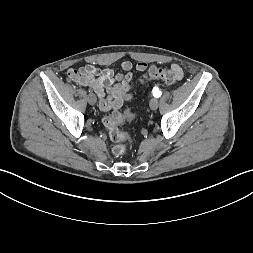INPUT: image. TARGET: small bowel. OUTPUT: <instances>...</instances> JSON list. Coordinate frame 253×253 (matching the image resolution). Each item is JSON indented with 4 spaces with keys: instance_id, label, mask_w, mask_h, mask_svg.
Returning <instances> with one entry per match:
<instances>
[{
    "instance_id": "obj_1",
    "label": "small bowel",
    "mask_w": 253,
    "mask_h": 253,
    "mask_svg": "<svg viewBox=\"0 0 253 253\" xmlns=\"http://www.w3.org/2000/svg\"><path fill=\"white\" fill-rule=\"evenodd\" d=\"M147 67L145 62H138L135 65L138 72H144ZM172 67L180 68L176 64ZM120 68L123 72L111 67L99 69L92 63H88L79 70L70 68L67 76L77 84L94 88L99 97L100 110L109 112L119 109L125 101L132 98V90L135 86L132 73L134 66L130 61H123Z\"/></svg>"
}]
</instances>
